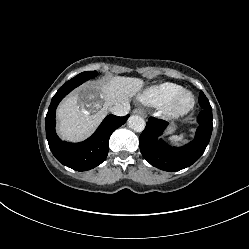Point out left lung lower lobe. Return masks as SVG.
Segmentation results:
<instances>
[{
	"label": "left lung lower lobe",
	"mask_w": 249,
	"mask_h": 249,
	"mask_svg": "<svg viewBox=\"0 0 249 249\" xmlns=\"http://www.w3.org/2000/svg\"><path fill=\"white\" fill-rule=\"evenodd\" d=\"M199 103L202 111L198 115L195 138L185 146L172 147L164 141H158L167 123L150 117L140 135V150L151 165L164 171H179L196 162L204 153L212 133V108L203 92H200Z\"/></svg>",
	"instance_id": "obj_1"
}]
</instances>
